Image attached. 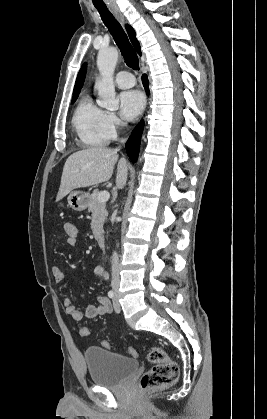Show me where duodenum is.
Here are the masks:
<instances>
[{"label": "duodenum", "instance_id": "obj_1", "mask_svg": "<svg viewBox=\"0 0 267 419\" xmlns=\"http://www.w3.org/2000/svg\"><path fill=\"white\" fill-rule=\"evenodd\" d=\"M97 242H98V244H99L100 247H105V245H106L105 236L104 235H99L97 237Z\"/></svg>", "mask_w": 267, "mask_h": 419}]
</instances>
